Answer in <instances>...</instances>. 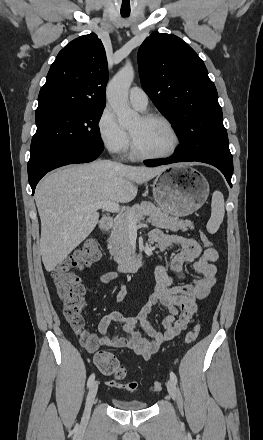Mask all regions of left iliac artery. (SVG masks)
I'll return each instance as SVG.
<instances>
[{"instance_id":"44dca946","label":"left iliac artery","mask_w":263,"mask_h":440,"mask_svg":"<svg viewBox=\"0 0 263 440\" xmlns=\"http://www.w3.org/2000/svg\"><path fill=\"white\" fill-rule=\"evenodd\" d=\"M170 378L175 384H177V377H176L175 373L172 371L170 372Z\"/></svg>"}]
</instances>
